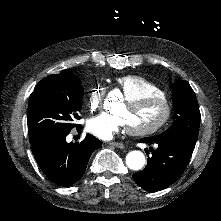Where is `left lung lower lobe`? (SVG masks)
I'll return each mask as SVG.
<instances>
[{
	"label": "left lung lower lobe",
	"mask_w": 221,
	"mask_h": 221,
	"mask_svg": "<svg viewBox=\"0 0 221 221\" xmlns=\"http://www.w3.org/2000/svg\"><path fill=\"white\" fill-rule=\"evenodd\" d=\"M140 142L158 145L152 156L148 157L146 167L133 174L138 186L148 192H156L173 184L184 172L195 147L194 142L178 134H161L142 138ZM145 151L149 154L147 149Z\"/></svg>",
	"instance_id": "1"
}]
</instances>
